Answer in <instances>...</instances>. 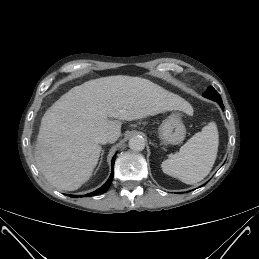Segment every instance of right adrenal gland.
<instances>
[{"label":"right adrenal gland","instance_id":"right-adrenal-gland-1","mask_svg":"<svg viewBox=\"0 0 259 259\" xmlns=\"http://www.w3.org/2000/svg\"><path fill=\"white\" fill-rule=\"evenodd\" d=\"M103 155H104V150H102L101 158H100V162H99V165H98L97 170L99 169V167H100V165H101V163H102Z\"/></svg>","mask_w":259,"mask_h":259}]
</instances>
